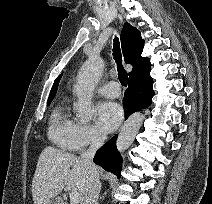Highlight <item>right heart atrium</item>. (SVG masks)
<instances>
[{"instance_id":"obj_1","label":"right heart atrium","mask_w":212,"mask_h":204,"mask_svg":"<svg viewBox=\"0 0 212 204\" xmlns=\"http://www.w3.org/2000/svg\"><path fill=\"white\" fill-rule=\"evenodd\" d=\"M103 138V133L95 125L78 124L74 134L73 149L82 151L89 146L99 144Z\"/></svg>"}]
</instances>
